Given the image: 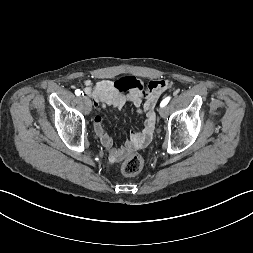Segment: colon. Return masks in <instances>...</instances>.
<instances>
[{
  "label": "colon",
  "mask_w": 253,
  "mask_h": 253,
  "mask_svg": "<svg viewBox=\"0 0 253 253\" xmlns=\"http://www.w3.org/2000/svg\"><path fill=\"white\" fill-rule=\"evenodd\" d=\"M144 165V160L139 154L130 155L121 165V171L126 176L138 174Z\"/></svg>",
  "instance_id": "1"
}]
</instances>
